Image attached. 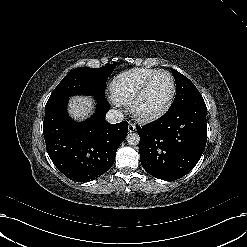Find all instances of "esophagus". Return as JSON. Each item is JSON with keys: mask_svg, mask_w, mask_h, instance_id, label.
I'll return each mask as SVG.
<instances>
[{"mask_svg": "<svg viewBox=\"0 0 247 247\" xmlns=\"http://www.w3.org/2000/svg\"><path fill=\"white\" fill-rule=\"evenodd\" d=\"M136 131V126L132 123L129 124L128 126V132L129 133H132V132H135Z\"/></svg>", "mask_w": 247, "mask_h": 247, "instance_id": "esophagus-1", "label": "esophagus"}]
</instances>
